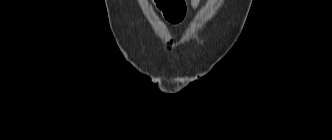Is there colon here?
I'll list each match as a JSON object with an SVG mask.
<instances>
[{"label": "colon", "instance_id": "1", "mask_svg": "<svg viewBox=\"0 0 332 140\" xmlns=\"http://www.w3.org/2000/svg\"><path fill=\"white\" fill-rule=\"evenodd\" d=\"M154 2L168 20H178L185 14V0H154Z\"/></svg>", "mask_w": 332, "mask_h": 140}]
</instances>
